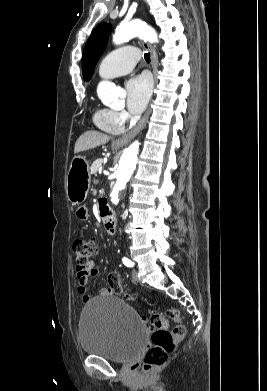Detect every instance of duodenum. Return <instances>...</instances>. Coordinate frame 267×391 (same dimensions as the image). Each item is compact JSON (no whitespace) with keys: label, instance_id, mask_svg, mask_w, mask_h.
Instances as JSON below:
<instances>
[{"label":"duodenum","instance_id":"410a0bca","mask_svg":"<svg viewBox=\"0 0 267 391\" xmlns=\"http://www.w3.org/2000/svg\"><path fill=\"white\" fill-rule=\"evenodd\" d=\"M100 213L102 215V221H103V225H104L105 230L108 233L113 234L116 229V223H115L114 218L108 214L107 207H106L105 203H103V202L100 203Z\"/></svg>","mask_w":267,"mask_h":391}]
</instances>
